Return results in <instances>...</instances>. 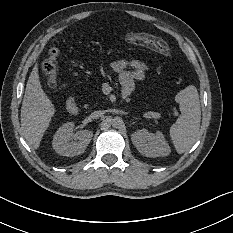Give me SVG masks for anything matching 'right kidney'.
Wrapping results in <instances>:
<instances>
[{
  "label": "right kidney",
  "mask_w": 233,
  "mask_h": 233,
  "mask_svg": "<svg viewBox=\"0 0 233 233\" xmlns=\"http://www.w3.org/2000/svg\"><path fill=\"white\" fill-rule=\"evenodd\" d=\"M75 123L68 121L58 128L53 135L52 148L57 153L72 157L85 152L87 145L90 143L93 133L89 130H83L76 134L77 143H69L74 136Z\"/></svg>",
  "instance_id": "right-kidney-1"
}]
</instances>
